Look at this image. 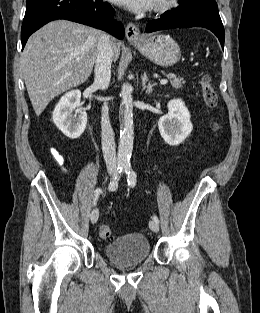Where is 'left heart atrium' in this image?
<instances>
[{"instance_id": "left-heart-atrium-1", "label": "left heart atrium", "mask_w": 260, "mask_h": 313, "mask_svg": "<svg viewBox=\"0 0 260 313\" xmlns=\"http://www.w3.org/2000/svg\"><path fill=\"white\" fill-rule=\"evenodd\" d=\"M114 3L125 6L133 12H142L153 7L156 0H111Z\"/></svg>"}]
</instances>
